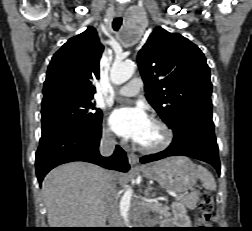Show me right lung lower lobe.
I'll use <instances>...</instances> for the list:
<instances>
[{"label": "right lung lower lobe", "mask_w": 252, "mask_h": 231, "mask_svg": "<svg viewBox=\"0 0 252 231\" xmlns=\"http://www.w3.org/2000/svg\"><path fill=\"white\" fill-rule=\"evenodd\" d=\"M99 128L88 129L76 126H59L42 133L36 152V175L39 183L54 167L72 161H85L107 169L127 172L130 168L126 153L116 146L114 154L102 157L98 147L101 138Z\"/></svg>", "instance_id": "98d812e1"}]
</instances>
